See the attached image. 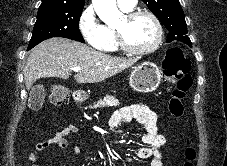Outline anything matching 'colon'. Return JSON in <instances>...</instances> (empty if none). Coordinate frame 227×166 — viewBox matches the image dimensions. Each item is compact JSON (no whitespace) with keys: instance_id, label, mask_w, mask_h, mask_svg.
Masks as SVG:
<instances>
[{"instance_id":"1","label":"colon","mask_w":227,"mask_h":166,"mask_svg":"<svg viewBox=\"0 0 227 166\" xmlns=\"http://www.w3.org/2000/svg\"><path fill=\"white\" fill-rule=\"evenodd\" d=\"M164 73L168 81L177 82V88L174 90L169 100V112L172 116L181 117L184 112L183 100L185 93L192 85V76L190 74V63L181 48H171L168 50L165 63ZM50 101L53 105H61L68 97V90L60 83L53 82L50 84ZM195 150L188 145L185 150L187 161L184 166H193Z\"/></svg>"}]
</instances>
